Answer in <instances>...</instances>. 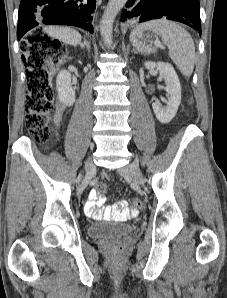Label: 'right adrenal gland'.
Segmentation results:
<instances>
[{
  "instance_id": "obj_1",
  "label": "right adrenal gland",
  "mask_w": 227,
  "mask_h": 298,
  "mask_svg": "<svg viewBox=\"0 0 227 298\" xmlns=\"http://www.w3.org/2000/svg\"><path fill=\"white\" fill-rule=\"evenodd\" d=\"M81 47L82 48L86 47L88 49V51L90 52V44L86 39H84L83 43H81Z\"/></svg>"
}]
</instances>
